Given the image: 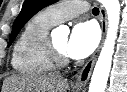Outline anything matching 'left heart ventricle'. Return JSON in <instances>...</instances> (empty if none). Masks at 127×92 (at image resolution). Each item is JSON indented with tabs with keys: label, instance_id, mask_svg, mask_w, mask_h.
I'll use <instances>...</instances> for the list:
<instances>
[{
	"label": "left heart ventricle",
	"instance_id": "b2bd125f",
	"mask_svg": "<svg viewBox=\"0 0 127 92\" xmlns=\"http://www.w3.org/2000/svg\"><path fill=\"white\" fill-rule=\"evenodd\" d=\"M56 47L63 53L66 54V46L68 42V35H56L53 37Z\"/></svg>",
	"mask_w": 127,
	"mask_h": 92
}]
</instances>
